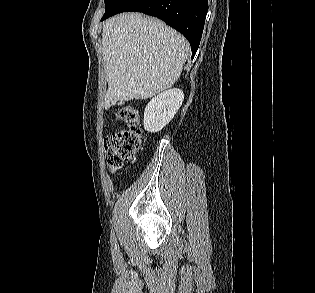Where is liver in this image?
<instances>
[{
    "mask_svg": "<svg viewBox=\"0 0 315 293\" xmlns=\"http://www.w3.org/2000/svg\"><path fill=\"white\" fill-rule=\"evenodd\" d=\"M108 91L104 107L147 99L171 87L189 55L188 41L162 21L140 13L114 16L103 26Z\"/></svg>",
    "mask_w": 315,
    "mask_h": 293,
    "instance_id": "liver-1",
    "label": "liver"
}]
</instances>
